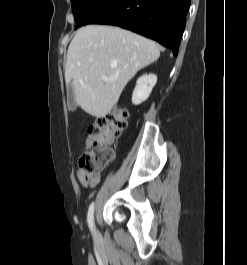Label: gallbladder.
<instances>
[{"mask_svg":"<svg viewBox=\"0 0 247 265\" xmlns=\"http://www.w3.org/2000/svg\"><path fill=\"white\" fill-rule=\"evenodd\" d=\"M68 103L72 110L75 109V96L71 85L68 86Z\"/></svg>","mask_w":247,"mask_h":265,"instance_id":"1","label":"gallbladder"}]
</instances>
